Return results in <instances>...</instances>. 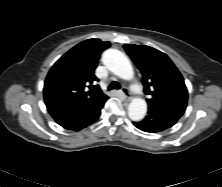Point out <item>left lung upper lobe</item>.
<instances>
[{"instance_id":"left-lung-upper-lobe-1","label":"left lung upper lobe","mask_w":222,"mask_h":187,"mask_svg":"<svg viewBox=\"0 0 222 187\" xmlns=\"http://www.w3.org/2000/svg\"><path fill=\"white\" fill-rule=\"evenodd\" d=\"M124 49L142 73L144 93L148 95L149 106H187L188 92L184 79L167 55L149 46L126 44Z\"/></svg>"}]
</instances>
